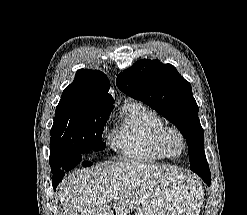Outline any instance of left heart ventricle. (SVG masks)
Here are the masks:
<instances>
[{
  "mask_svg": "<svg viewBox=\"0 0 247 215\" xmlns=\"http://www.w3.org/2000/svg\"><path fill=\"white\" fill-rule=\"evenodd\" d=\"M169 145L172 151H179L180 149V140L176 135H171L169 138Z\"/></svg>",
  "mask_w": 247,
  "mask_h": 215,
  "instance_id": "obj_1",
  "label": "left heart ventricle"
}]
</instances>
